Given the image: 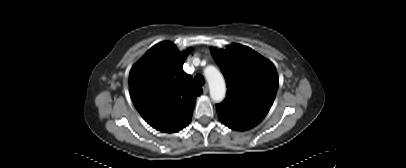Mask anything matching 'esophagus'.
<instances>
[{
	"mask_svg": "<svg viewBox=\"0 0 406 168\" xmlns=\"http://www.w3.org/2000/svg\"><path fill=\"white\" fill-rule=\"evenodd\" d=\"M208 90H209L208 85L205 84V85L203 86V92H204V94H207V93H208Z\"/></svg>",
	"mask_w": 406,
	"mask_h": 168,
	"instance_id": "esophagus-1",
	"label": "esophagus"
}]
</instances>
